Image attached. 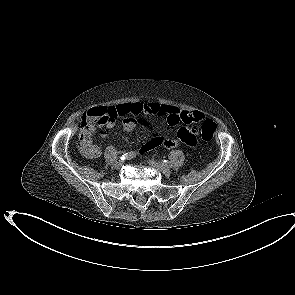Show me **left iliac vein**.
<instances>
[{"label":"left iliac vein","mask_w":295,"mask_h":295,"mask_svg":"<svg viewBox=\"0 0 295 295\" xmlns=\"http://www.w3.org/2000/svg\"><path fill=\"white\" fill-rule=\"evenodd\" d=\"M149 165H151L152 167L160 170L162 173H164L165 175H170L171 174V170L168 166H165L163 164H160L154 160H149Z\"/></svg>","instance_id":"4c4485c4"}]
</instances>
